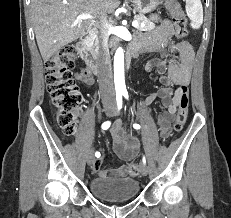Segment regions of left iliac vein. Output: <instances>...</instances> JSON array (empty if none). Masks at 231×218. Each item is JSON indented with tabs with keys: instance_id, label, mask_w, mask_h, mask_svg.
<instances>
[{
	"instance_id": "1",
	"label": "left iliac vein",
	"mask_w": 231,
	"mask_h": 218,
	"mask_svg": "<svg viewBox=\"0 0 231 218\" xmlns=\"http://www.w3.org/2000/svg\"><path fill=\"white\" fill-rule=\"evenodd\" d=\"M140 171L143 176H146L148 174V167L146 166L144 162H141L140 164Z\"/></svg>"
}]
</instances>
